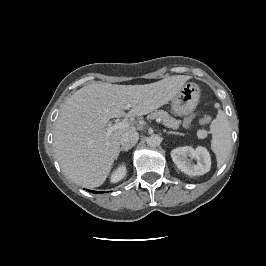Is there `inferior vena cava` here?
Here are the masks:
<instances>
[{"label":"inferior vena cava","instance_id":"inferior-vena-cava-1","mask_svg":"<svg viewBox=\"0 0 266 266\" xmlns=\"http://www.w3.org/2000/svg\"><path fill=\"white\" fill-rule=\"evenodd\" d=\"M139 139V134L134 132H126L122 135L120 139V144L123 148L131 149L133 146L136 145Z\"/></svg>","mask_w":266,"mask_h":266}]
</instances>
